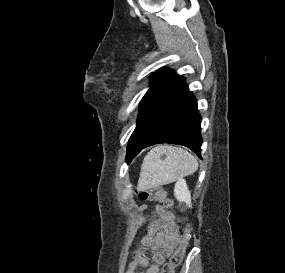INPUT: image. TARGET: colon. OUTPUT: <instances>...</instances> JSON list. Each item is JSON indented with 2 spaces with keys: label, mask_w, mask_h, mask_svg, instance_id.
<instances>
[{
  "label": "colon",
  "mask_w": 285,
  "mask_h": 273,
  "mask_svg": "<svg viewBox=\"0 0 285 273\" xmlns=\"http://www.w3.org/2000/svg\"><path fill=\"white\" fill-rule=\"evenodd\" d=\"M136 193L141 201H155L171 206L172 202L167 197L166 191L159 187H141L136 188ZM189 242V230H185L181 236L180 243L176 251L172 254L168 263H166L160 270V273H175V270L183 262L185 252Z\"/></svg>",
  "instance_id": "colon-1"
}]
</instances>
